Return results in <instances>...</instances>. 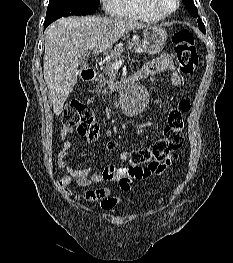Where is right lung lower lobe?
I'll return each mask as SVG.
<instances>
[{"mask_svg": "<svg viewBox=\"0 0 233 263\" xmlns=\"http://www.w3.org/2000/svg\"><path fill=\"white\" fill-rule=\"evenodd\" d=\"M50 23H52V22L45 21V23H44V29H45Z\"/></svg>", "mask_w": 233, "mask_h": 263, "instance_id": "98d812e1", "label": "right lung lower lobe"}]
</instances>
